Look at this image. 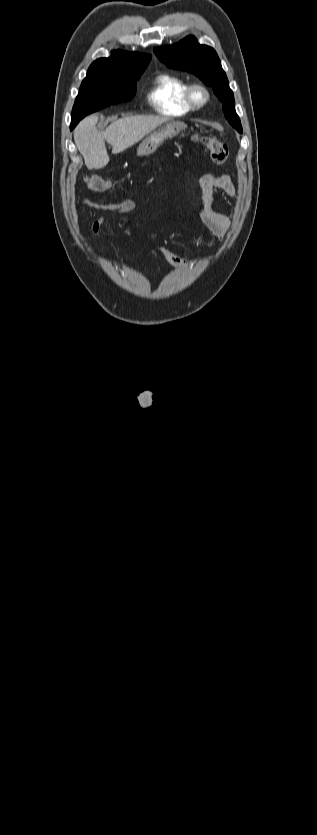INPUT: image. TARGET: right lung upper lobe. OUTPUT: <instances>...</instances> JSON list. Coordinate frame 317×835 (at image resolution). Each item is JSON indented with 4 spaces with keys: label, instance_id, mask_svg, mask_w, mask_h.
Here are the masks:
<instances>
[{
    "label": "right lung upper lobe",
    "instance_id": "cb5924a9",
    "mask_svg": "<svg viewBox=\"0 0 317 835\" xmlns=\"http://www.w3.org/2000/svg\"><path fill=\"white\" fill-rule=\"evenodd\" d=\"M150 55L131 53L125 51H114L109 58H99L89 67L87 75H100L115 71H130L148 64Z\"/></svg>",
    "mask_w": 317,
    "mask_h": 835
}]
</instances>
